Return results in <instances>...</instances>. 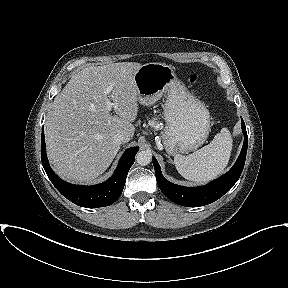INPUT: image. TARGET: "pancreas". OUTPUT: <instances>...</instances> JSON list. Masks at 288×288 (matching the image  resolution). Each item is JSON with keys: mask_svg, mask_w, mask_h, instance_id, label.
<instances>
[{"mask_svg": "<svg viewBox=\"0 0 288 288\" xmlns=\"http://www.w3.org/2000/svg\"><path fill=\"white\" fill-rule=\"evenodd\" d=\"M156 119H154V120H152V121H150V124L152 125V124H156L157 123V121H155Z\"/></svg>", "mask_w": 288, "mask_h": 288, "instance_id": "pancreas-1", "label": "pancreas"}]
</instances>
